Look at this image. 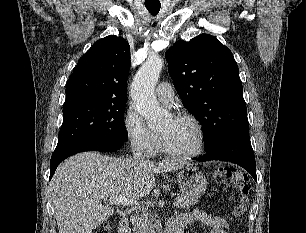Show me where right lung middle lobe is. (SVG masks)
<instances>
[{"label": "right lung middle lobe", "mask_w": 306, "mask_h": 233, "mask_svg": "<svg viewBox=\"0 0 306 233\" xmlns=\"http://www.w3.org/2000/svg\"><path fill=\"white\" fill-rule=\"evenodd\" d=\"M127 101L78 99L63 106V123L55 151L83 141L126 142L124 108Z\"/></svg>", "instance_id": "dd1d6c3e"}]
</instances>
